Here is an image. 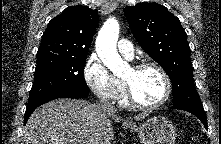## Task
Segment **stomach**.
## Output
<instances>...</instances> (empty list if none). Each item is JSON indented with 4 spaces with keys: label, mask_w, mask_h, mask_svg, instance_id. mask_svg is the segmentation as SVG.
I'll list each match as a JSON object with an SVG mask.
<instances>
[{
    "label": "stomach",
    "mask_w": 221,
    "mask_h": 144,
    "mask_svg": "<svg viewBox=\"0 0 221 144\" xmlns=\"http://www.w3.org/2000/svg\"><path fill=\"white\" fill-rule=\"evenodd\" d=\"M126 128L138 133L142 144H174L177 137L174 125L159 115L150 117L139 125L127 124Z\"/></svg>",
    "instance_id": "obj_1"
}]
</instances>
